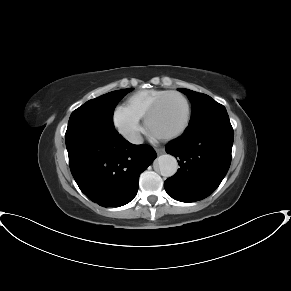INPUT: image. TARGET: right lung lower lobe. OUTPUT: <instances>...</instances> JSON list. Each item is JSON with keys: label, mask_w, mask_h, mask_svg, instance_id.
<instances>
[{"label": "right lung lower lobe", "mask_w": 291, "mask_h": 291, "mask_svg": "<svg viewBox=\"0 0 291 291\" xmlns=\"http://www.w3.org/2000/svg\"><path fill=\"white\" fill-rule=\"evenodd\" d=\"M65 142L77 185L103 207L129 203L137 194L140 174L156 158L152 147L133 145L102 124H69Z\"/></svg>", "instance_id": "right-lung-lower-lobe-1"}]
</instances>
